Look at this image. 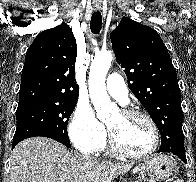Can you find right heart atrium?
Here are the masks:
<instances>
[{
  "label": "right heart atrium",
  "mask_w": 196,
  "mask_h": 182,
  "mask_svg": "<svg viewBox=\"0 0 196 182\" xmlns=\"http://www.w3.org/2000/svg\"><path fill=\"white\" fill-rule=\"evenodd\" d=\"M69 136L74 146L88 154L100 151L106 143V130L86 103H78L69 123Z\"/></svg>",
  "instance_id": "obj_1"
}]
</instances>
